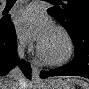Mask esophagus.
Returning <instances> with one entry per match:
<instances>
[{"label":"esophagus","instance_id":"obj_1","mask_svg":"<svg viewBox=\"0 0 89 89\" xmlns=\"http://www.w3.org/2000/svg\"><path fill=\"white\" fill-rule=\"evenodd\" d=\"M39 78V70L36 66L32 65V79L38 80Z\"/></svg>","mask_w":89,"mask_h":89}]
</instances>
